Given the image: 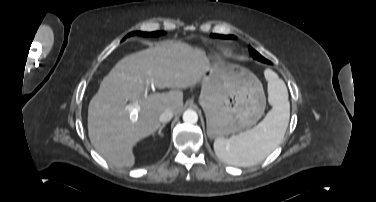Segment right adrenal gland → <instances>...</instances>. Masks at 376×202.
Listing matches in <instances>:
<instances>
[{"label":"right adrenal gland","instance_id":"2a0ac1e0","mask_svg":"<svg viewBox=\"0 0 376 202\" xmlns=\"http://www.w3.org/2000/svg\"><path fill=\"white\" fill-rule=\"evenodd\" d=\"M164 127H165V124H162L161 127H160V129L158 130V135H159L160 137H163V134H162L161 131H162V129H163ZM152 135L154 136L155 133H153Z\"/></svg>","mask_w":376,"mask_h":202}]
</instances>
